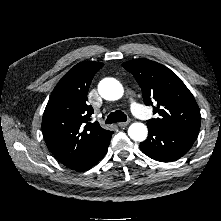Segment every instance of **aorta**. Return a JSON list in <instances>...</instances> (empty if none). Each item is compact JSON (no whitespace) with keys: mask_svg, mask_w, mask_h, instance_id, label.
I'll return each instance as SVG.
<instances>
[{"mask_svg":"<svg viewBox=\"0 0 221 221\" xmlns=\"http://www.w3.org/2000/svg\"><path fill=\"white\" fill-rule=\"evenodd\" d=\"M98 91L102 98L106 100H118L123 96L124 89L119 81L113 78H105L100 81ZM148 129L146 125L140 122L129 126V137L137 142H142L147 138Z\"/></svg>","mask_w":221,"mask_h":221,"instance_id":"aorta-1","label":"aorta"}]
</instances>
